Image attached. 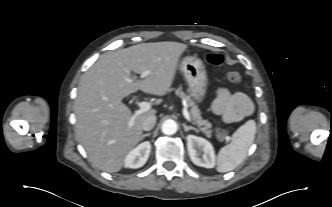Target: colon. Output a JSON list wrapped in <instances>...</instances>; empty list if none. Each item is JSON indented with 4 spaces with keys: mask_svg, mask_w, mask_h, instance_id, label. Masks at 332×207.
Returning <instances> with one entry per match:
<instances>
[{
    "mask_svg": "<svg viewBox=\"0 0 332 207\" xmlns=\"http://www.w3.org/2000/svg\"><path fill=\"white\" fill-rule=\"evenodd\" d=\"M207 61L213 65H222L224 62V58L220 54H209L207 55ZM226 76L231 82H238L241 78L240 72L235 66H228L224 68ZM218 139L225 140L227 138L228 132L224 128H219L216 133Z\"/></svg>",
    "mask_w": 332,
    "mask_h": 207,
    "instance_id": "obj_1",
    "label": "colon"
}]
</instances>
